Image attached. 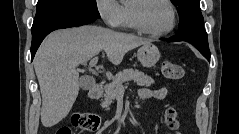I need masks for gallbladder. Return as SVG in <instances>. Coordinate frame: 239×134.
<instances>
[{
  "instance_id": "gallbladder-1",
  "label": "gallbladder",
  "mask_w": 239,
  "mask_h": 134,
  "mask_svg": "<svg viewBox=\"0 0 239 134\" xmlns=\"http://www.w3.org/2000/svg\"><path fill=\"white\" fill-rule=\"evenodd\" d=\"M94 84H95V80L93 78L84 76L80 79V86L84 90L90 89L92 86H94Z\"/></svg>"
}]
</instances>
